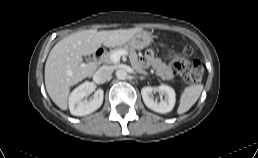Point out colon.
Returning <instances> with one entry per match:
<instances>
[{
	"label": "colon",
	"instance_id": "1",
	"mask_svg": "<svg viewBox=\"0 0 258 158\" xmlns=\"http://www.w3.org/2000/svg\"><path fill=\"white\" fill-rule=\"evenodd\" d=\"M193 49L184 46L179 51L172 52L170 56L171 67L178 73H183V82L193 85L200 82L203 74V66L199 60H191Z\"/></svg>",
	"mask_w": 258,
	"mask_h": 158
}]
</instances>
